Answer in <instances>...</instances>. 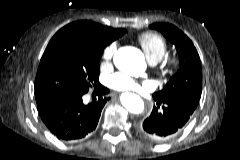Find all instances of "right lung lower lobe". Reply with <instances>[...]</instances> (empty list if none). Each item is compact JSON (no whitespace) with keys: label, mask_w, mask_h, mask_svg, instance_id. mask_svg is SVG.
I'll list each match as a JSON object with an SVG mask.
<instances>
[{"label":"right lung lower lobe","mask_w":240,"mask_h":160,"mask_svg":"<svg viewBox=\"0 0 240 160\" xmlns=\"http://www.w3.org/2000/svg\"><path fill=\"white\" fill-rule=\"evenodd\" d=\"M109 90L100 83L93 94L98 100L85 105L83 94L70 95L62 92H48L36 96L41 119L58 138L74 141L86 137L97 126L102 108L109 98L103 97Z\"/></svg>","instance_id":"obj_1"}]
</instances>
